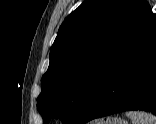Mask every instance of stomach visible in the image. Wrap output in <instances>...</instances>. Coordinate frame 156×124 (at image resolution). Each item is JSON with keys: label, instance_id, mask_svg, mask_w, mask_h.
I'll use <instances>...</instances> for the list:
<instances>
[{"label": "stomach", "instance_id": "stomach-1", "mask_svg": "<svg viewBox=\"0 0 156 124\" xmlns=\"http://www.w3.org/2000/svg\"><path fill=\"white\" fill-rule=\"evenodd\" d=\"M107 124H127V122L116 118L114 120L108 121Z\"/></svg>", "mask_w": 156, "mask_h": 124}]
</instances>
